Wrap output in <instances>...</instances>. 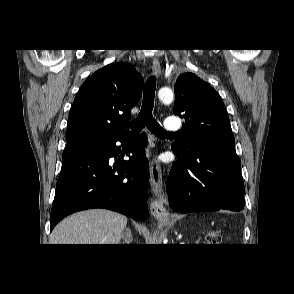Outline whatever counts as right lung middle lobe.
<instances>
[{
	"label": "right lung middle lobe",
	"mask_w": 294,
	"mask_h": 294,
	"mask_svg": "<svg viewBox=\"0 0 294 294\" xmlns=\"http://www.w3.org/2000/svg\"><path fill=\"white\" fill-rule=\"evenodd\" d=\"M93 141H82V142H76V143H72V144H67L65 149L68 148H72V147H77V146H81V145H85V144H89L92 143Z\"/></svg>",
	"instance_id": "right-lung-middle-lobe-1"
}]
</instances>
